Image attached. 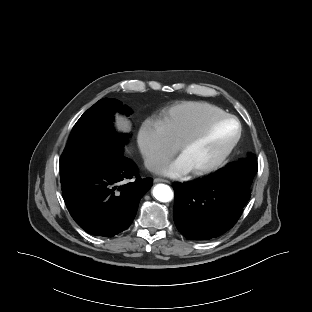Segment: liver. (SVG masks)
<instances>
[{
    "mask_svg": "<svg viewBox=\"0 0 312 312\" xmlns=\"http://www.w3.org/2000/svg\"><path fill=\"white\" fill-rule=\"evenodd\" d=\"M116 126H117L118 130H120V131L127 132L130 130L129 121L125 117L120 116L118 114L116 115Z\"/></svg>",
    "mask_w": 312,
    "mask_h": 312,
    "instance_id": "obj_1",
    "label": "liver"
}]
</instances>
